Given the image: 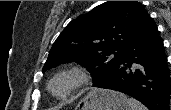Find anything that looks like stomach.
I'll use <instances>...</instances> for the list:
<instances>
[{
  "label": "stomach",
  "mask_w": 171,
  "mask_h": 110,
  "mask_svg": "<svg viewBox=\"0 0 171 110\" xmlns=\"http://www.w3.org/2000/svg\"><path fill=\"white\" fill-rule=\"evenodd\" d=\"M126 96L109 90L93 89L75 110H127Z\"/></svg>",
  "instance_id": "0dacf381"
}]
</instances>
